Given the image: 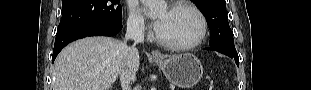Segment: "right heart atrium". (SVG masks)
Wrapping results in <instances>:
<instances>
[{"label":"right heart atrium","mask_w":311,"mask_h":90,"mask_svg":"<svg viewBox=\"0 0 311 90\" xmlns=\"http://www.w3.org/2000/svg\"><path fill=\"white\" fill-rule=\"evenodd\" d=\"M127 26L130 32L136 34H145L148 31L145 19L135 4L129 7Z\"/></svg>","instance_id":"1"}]
</instances>
